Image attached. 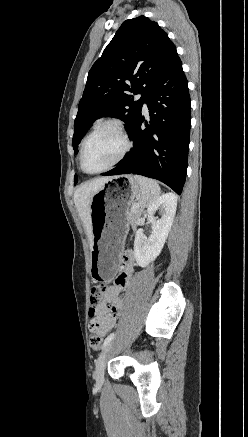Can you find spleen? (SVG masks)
I'll use <instances>...</instances> for the list:
<instances>
[{
    "label": "spleen",
    "mask_w": 248,
    "mask_h": 437,
    "mask_svg": "<svg viewBox=\"0 0 248 437\" xmlns=\"http://www.w3.org/2000/svg\"><path fill=\"white\" fill-rule=\"evenodd\" d=\"M134 179L140 185V205L148 207L160 195V187L155 180L143 176L135 175Z\"/></svg>",
    "instance_id": "spleen-1"
}]
</instances>
